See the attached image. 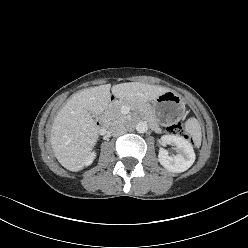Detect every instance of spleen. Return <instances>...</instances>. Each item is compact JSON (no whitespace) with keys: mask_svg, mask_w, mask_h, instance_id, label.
Masks as SVG:
<instances>
[{"mask_svg":"<svg viewBox=\"0 0 248 248\" xmlns=\"http://www.w3.org/2000/svg\"><path fill=\"white\" fill-rule=\"evenodd\" d=\"M185 130L190 134L195 142L199 145L201 143L202 134L201 127L196 118H189L185 123Z\"/></svg>","mask_w":248,"mask_h":248,"instance_id":"3e777b00","label":"spleen"}]
</instances>
